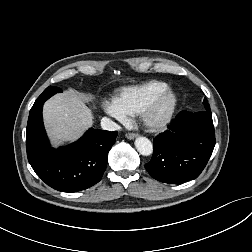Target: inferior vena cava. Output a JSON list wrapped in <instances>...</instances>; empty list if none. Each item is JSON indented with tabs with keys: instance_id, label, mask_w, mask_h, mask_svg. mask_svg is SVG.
I'll return each mask as SVG.
<instances>
[{
	"instance_id": "1",
	"label": "inferior vena cava",
	"mask_w": 252,
	"mask_h": 252,
	"mask_svg": "<svg viewBox=\"0 0 252 252\" xmlns=\"http://www.w3.org/2000/svg\"><path fill=\"white\" fill-rule=\"evenodd\" d=\"M101 127L104 130H108V131H118L121 129V127L117 123L113 122L111 119L107 117L102 118Z\"/></svg>"
}]
</instances>
